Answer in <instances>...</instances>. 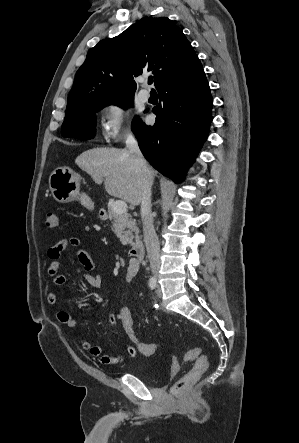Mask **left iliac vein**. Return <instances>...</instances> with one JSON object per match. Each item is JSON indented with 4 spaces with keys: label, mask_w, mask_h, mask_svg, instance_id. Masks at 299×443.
<instances>
[{
    "label": "left iliac vein",
    "mask_w": 299,
    "mask_h": 443,
    "mask_svg": "<svg viewBox=\"0 0 299 443\" xmlns=\"http://www.w3.org/2000/svg\"><path fill=\"white\" fill-rule=\"evenodd\" d=\"M157 295H158L159 297L162 295V291H161V288H160L159 285L157 286Z\"/></svg>",
    "instance_id": "1"
}]
</instances>
